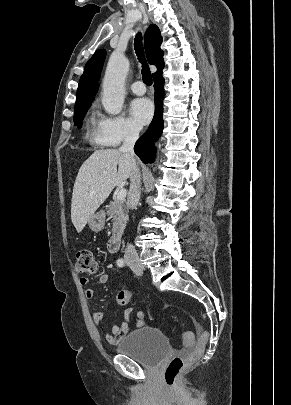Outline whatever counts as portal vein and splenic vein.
I'll return each mask as SVG.
<instances>
[{
  "label": "portal vein and splenic vein",
  "mask_w": 291,
  "mask_h": 405,
  "mask_svg": "<svg viewBox=\"0 0 291 405\" xmlns=\"http://www.w3.org/2000/svg\"><path fill=\"white\" fill-rule=\"evenodd\" d=\"M126 190L125 189H121L118 194H117V200H124L126 197Z\"/></svg>",
  "instance_id": "1"
}]
</instances>
